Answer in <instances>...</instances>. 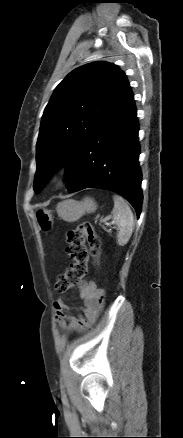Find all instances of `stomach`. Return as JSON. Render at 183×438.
<instances>
[{
	"instance_id": "0dacf381",
	"label": "stomach",
	"mask_w": 183,
	"mask_h": 438,
	"mask_svg": "<svg viewBox=\"0 0 183 438\" xmlns=\"http://www.w3.org/2000/svg\"><path fill=\"white\" fill-rule=\"evenodd\" d=\"M96 202L91 198H85L82 201L68 199L60 202L57 207L58 216L66 222H75L86 213H92L96 210ZM39 230L48 233L53 228V217L51 211L47 209H38L34 214Z\"/></svg>"
}]
</instances>
